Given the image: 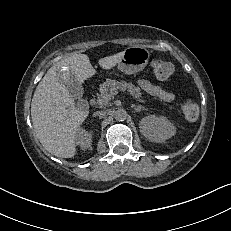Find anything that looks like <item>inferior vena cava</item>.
Wrapping results in <instances>:
<instances>
[{
    "label": "inferior vena cava",
    "instance_id": "602c4592",
    "mask_svg": "<svg viewBox=\"0 0 231 231\" xmlns=\"http://www.w3.org/2000/svg\"><path fill=\"white\" fill-rule=\"evenodd\" d=\"M106 114V111H96L94 112V116H102V115H105Z\"/></svg>",
    "mask_w": 231,
    "mask_h": 231
}]
</instances>
